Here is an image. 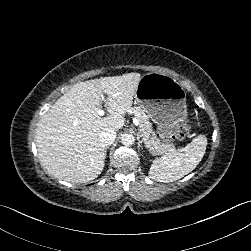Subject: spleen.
Segmentation results:
<instances>
[{"label": "spleen", "mask_w": 251, "mask_h": 251, "mask_svg": "<svg viewBox=\"0 0 251 251\" xmlns=\"http://www.w3.org/2000/svg\"><path fill=\"white\" fill-rule=\"evenodd\" d=\"M206 144L207 139L203 135H198L185 148L170 151L153 164L149 178L159 182H170L182 178L200 162L205 153Z\"/></svg>", "instance_id": "spleen-1"}]
</instances>
